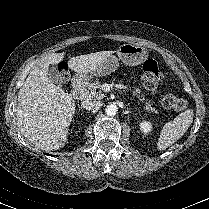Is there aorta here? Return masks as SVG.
I'll return each mask as SVG.
<instances>
[{
	"mask_svg": "<svg viewBox=\"0 0 209 209\" xmlns=\"http://www.w3.org/2000/svg\"><path fill=\"white\" fill-rule=\"evenodd\" d=\"M117 106L114 104L108 105L105 109V112L108 116H115L117 114Z\"/></svg>",
	"mask_w": 209,
	"mask_h": 209,
	"instance_id": "obj_1",
	"label": "aorta"
}]
</instances>
